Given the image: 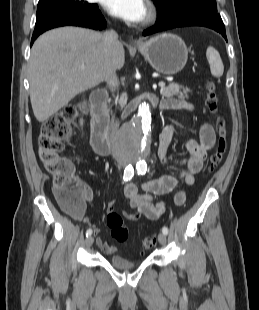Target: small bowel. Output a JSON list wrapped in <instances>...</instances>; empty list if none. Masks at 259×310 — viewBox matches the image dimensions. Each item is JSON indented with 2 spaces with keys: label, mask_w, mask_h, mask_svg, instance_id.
Returning <instances> with one entry per match:
<instances>
[{
  "label": "small bowel",
  "mask_w": 259,
  "mask_h": 310,
  "mask_svg": "<svg viewBox=\"0 0 259 310\" xmlns=\"http://www.w3.org/2000/svg\"><path fill=\"white\" fill-rule=\"evenodd\" d=\"M164 109H186L193 110V105L180 99L168 98L161 102ZM175 128L170 125L164 128L160 134L158 155L161 162L168 168L169 172L160 178L144 181L141 188L144 193L138 191L134 182H128L124 186V194L128 199L130 211L124 212V216L131 221H137L141 218L157 220L165 211V204L162 201H156L155 195H163L172 192L180 181L188 186L195 183V176L198 174L206 159L207 153L213 148L216 141L214 128L209 123H204L200 128L199 141L189 139L185 142L188 156L180 160H173L167 154L168 146L174 135ZM87 200L92 199L90 187L81 183ZM186 201L184 191H177L174 195L176 206H182ZM113 202L108 205V212L114 211ZM83 220L82 216L78 217ZM96 235V245L107 255H113L117 252V247L109 244L100 236V229L94 228Z\"/></svg>",
  "instance_id": "c3829d8e"
}]
</instances>
